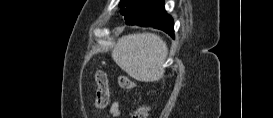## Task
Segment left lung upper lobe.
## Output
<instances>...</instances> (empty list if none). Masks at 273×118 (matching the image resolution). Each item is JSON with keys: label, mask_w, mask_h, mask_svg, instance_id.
<instances>
[{"label": "left lung upper lobe", "mask_w": 273, "mask_h": 118, "mask_svg": "<svg viewBox=\"0 0 273 118\" xmlns=\"http://www.w3.org/2000/svg\"><path fill=\"white\" fill-rule=\"evenodd\" d=\"M119 7L126 24L145 20L164 8L163 0H121Z\"/></svg>", "instance_id": "1"}]
</instances>
